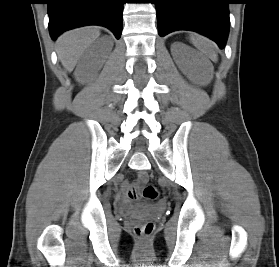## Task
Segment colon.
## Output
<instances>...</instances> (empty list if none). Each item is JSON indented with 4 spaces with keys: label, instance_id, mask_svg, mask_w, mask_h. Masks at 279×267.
I'll use <instances>...</instances> for the list:
<instances>
[{
    "label": "colon",
    "instance_id": "colon-1",
    "mask_svg": "<svg viewBox=\"0 0 279 267\" xmlns=\"http://www.w3.org/2000/svg\"><path fill=\"white\" fill-rule=\"evenodd\" d=\"M147 178L148 176L145 173L140 174L138 177V184L144 185L141 191V195L145 199L156 200L159 196V192L153 185H146ZM133 192L137 191L134 190ZM153 230L154 224L152 222H145L136 225L135 234L141 239H146L152 234Z\"/></svg>",
    "mask_w": 279,
    "mask_h": 267
}]
</instances>
